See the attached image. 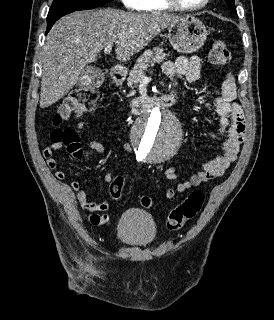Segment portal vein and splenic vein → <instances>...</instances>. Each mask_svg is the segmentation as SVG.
Returning a JSON list of instances; mask_svg holds the SVG:
<instances>
[{
	"mask_svg": "<svg viewBox=\"0 0 274 320\" xmlns=\"http://www.w3.org/2000/svg\"><path fill=\"white\" fill-rule=\"evenodd\" d=\"M112 50V46H107V48H104V54H110ZM141 78H145V76H141Z\"/></svg>",
	"mask_w": 274,
	"mask_h": 320,
	"instance_id": "obj_1",
	"label": "portal vein and splenic vein"
}]
</instances>
